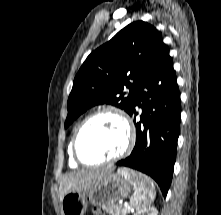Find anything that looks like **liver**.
Here are the masks:
<instances>
[{
	"mask_svg": "<svg viewBox=\"0 0 221 215\" xmlns=\"http://www.w3.org/2000/svg\"><path fill=\"white\" fill-rule=\"evenodd\" d=\"M110 168H101L70 174L63 178L59 189L60 201L62 197L72 191H83L92 188L98 181L111 173Z\"/></svg>",
	"mask_w": 221,
	"mask_h": 215,
	"instance_id": "liver-1",
	"label": "liver"
}]
</instances>
